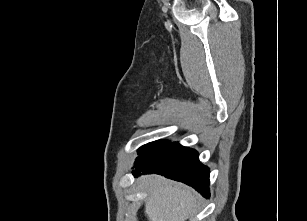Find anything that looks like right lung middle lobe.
Returning a JSON list of instances; mask_svg holds the SVG:
<instances>
[{
    "instance_id": "obj_1",
    "label": "right lung middle lobe",
    "mask_w": 307,
    "mask_h": 221,
    "mask_svg": "<svg viewBox=\"0 0 307 221\" xmlns=\"http://www.w3.org/2000/svg\"><path fill=\"white\" fill-rule=\"evenodd\" d=\"M166 143H169V141H163V140L155 141V142L146 144V145H144L143 147H141V148L139 149V152L147 151V150H150V149H152V148H155V147H159V146H161V145H164V144H166Z\"/></svg>"
}]
</instances>
